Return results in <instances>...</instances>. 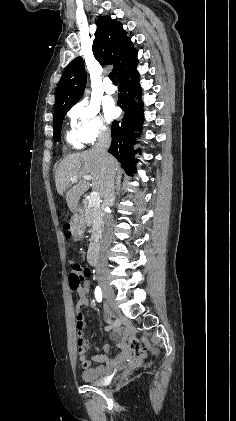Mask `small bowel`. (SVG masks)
Segmentation results:
<instances>
[{
    "mask_svg": "<svg viewBox=\"0 0 236 421\" xmlns=\"http://www.w3.org/2000/svg\"><path fill=\"white\" fill-rule=\"evenodd\" d=\"M88 292H89L88 285H85V287L83 289H81V290L78 291V294H79L80 299H79V301H78V303L76 305V314L78 316V326H79V329H80V331H79V340L82 341V343H83V349H84L81 353H79V355H80L81 365L85 369V372H84V377L85 378H88V377L92 376L91 375L92 369L89 368L90 367V362L85 357V344H86V342L82 338V334H81V332H82L81 329H82V326H83V319H82L81 309H82V307L89 305ZM107 316H109V315H107ZM115 326H116V324L114 323L113 324V327H115Z\"/></svg>",
    "mask_w": 236,
    "mask_h": 421,
    "instance_id": "small-bowel-1",
    "label": "small bowel"
}]
</instances>
